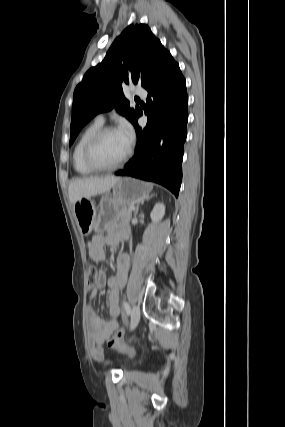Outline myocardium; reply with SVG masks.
I'll list each match as a JSON object with an SVG mask.
<instances>
[{"label":"myocardium","mask_w":285,"mask_h":427,"mask_svg":"<svg viewBox=\"0 0 285 427\" xmlns=\"http://www.w3.org/2000/svg\"><path fill=\"white\" fill-rule=\"evenodd\" d=\"M117 131L114 126H105L98 130L86 143L83 151L85 164L94 171H109L122 166L132 155L133 147L129 145L127 152L118 161L112 164H101L95 157V152L102 139L110 132Z\"/></svg>","instance_id":"obj_1"}]
</instances>
